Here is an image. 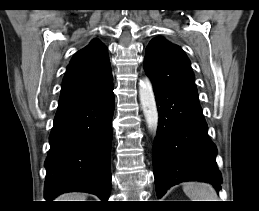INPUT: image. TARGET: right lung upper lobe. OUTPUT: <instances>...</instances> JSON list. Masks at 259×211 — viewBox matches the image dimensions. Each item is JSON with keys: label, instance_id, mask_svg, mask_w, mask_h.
Segmentation results:
<instances>
[{"label": "right lung upper lobe", "instance_id": "1", "mask_svg": "<svg viewBox=\"0 0 259 211\" xmlns=\"http://www.w3.org/2000/svg\"><path fill=\"white\" fill-rule=\"evenodd\" d=\"M113 86L106 47L93 39L68 65L58 107L91 99Z\"/></svg>", "mask_w": 259, "mask_h": 211}]
</instances>
